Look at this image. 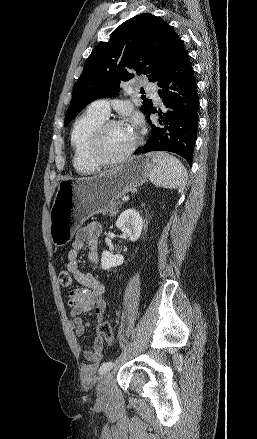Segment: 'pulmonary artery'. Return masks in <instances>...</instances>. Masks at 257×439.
<instances>
[{"instance_id":"pulmonary-artery-1","label":"pulmonary artery","mask_w":257,"mask_h":439,"mask_svg":"<svg viewBox=\"0 0 257 439\" xmlns=\"http://www.w3.org/2000/svg\"><path fill=\"white\" fill-rule=\"evenodd\" d=\"M146 91L147 94L156 102L159 103L160 102V98L158 95V89L157 86L153 83H148L146 85ZM89 109L102 114L104 116H108L109 112H110V108H109V102L105 99H98L94 102H92L89 106Z\"/></svg>"}]
</instances>
